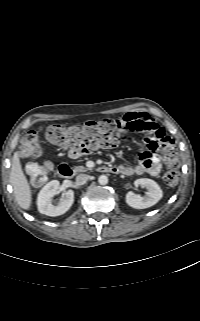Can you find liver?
Here are the masks:
<instances>
[{
	"label": "liver",
	"instance_id": "obj_1",
	"mask_svg": "<svg viewBox=\"0 0 200 321\" xmlns=\"http://www.w3.org/2000/svg\"><path fill=\"white\" fill-rule=\"evenodd\" d=\"M10 183L13 186L17 204L21 208L29 210L32 203L31 189L23 173L18 152H15L12 158Z\"/></svg>",
	"mask_w": 200,
	"mask_h": 321
}]
</instances>
